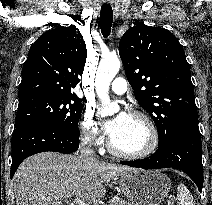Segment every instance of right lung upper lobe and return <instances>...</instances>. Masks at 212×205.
<instances>
[{
	"mask_svg": "<svg viewBox=\"0 0 212 205\" xmlns=\"http://www.w3.org/2000/svg\"><path fill=\"white\" fill-rule=\"evenodd\" d=\"M86 57L85 41L74 25L45 32L30 47L19 99L33 95L78 99L71 89L80 82Z\"/></svg>",
	"mask_w": 212,
	"mask_h": 205,
	"instance_id": "1",
	"label": "right lung upper lobe"
}]
</instances>
